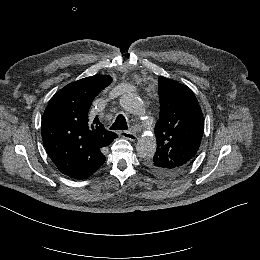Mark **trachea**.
I'll list each match as a JSON object with an SVG mask.
<instances>
[{
    "label": "trachea",
    "instance_id": "3493384b",
    "mask_svg": "<svg viewBox=\"0 0 260 260\" xmlns=\"http://www.w3.org/2000/svg\"><path fill=\"white\" fill-rule=\"evenodd\" d=\"M128 125L123 115H118L115 122L110 127V130H127Z\"/></svg>",
    "mask_w": 260,
    "mask_h": 260
}]
</instances>
